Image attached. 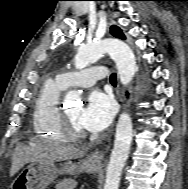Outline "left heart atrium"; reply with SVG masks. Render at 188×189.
I'll return each mask as SVG.
<instances>
[{"mask_svg": "<svg viewBox=\"0 0 188 189\" xmlns=\"http://www.w3.org/2000/svg\"><path fill=\"white\" fill-rule=\"evenodd\" d=\"M112 117L113 105L111 98L99 90H94L88 95L78 121L82 128L99 132L110 124Z\"/></svg>", "mask_w": 188, "mask_h": 189, "instance_id": "39dd6f15", "label": "left heart atrium"}]
</instances>
